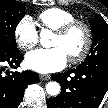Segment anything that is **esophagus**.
Returning a JSON list of instances; mask_svg holds the SVG:
<instances>
[{"instance_id": "34e87169", "label": "esophagus", "mask_w": 108, "mask_h": 108, "mask_svg": "<svg viewBox=\"0 0 108 108\" xmlns=\"http://www.w3.org/2000/svg\"><path fill=\"white\" fill-rule=\"evenodd\" d=\"M39 78H40L41 81H46V80H49L50 79V76L49 75L41 74L39 76Z\"/></svg>"}]
</instances>
